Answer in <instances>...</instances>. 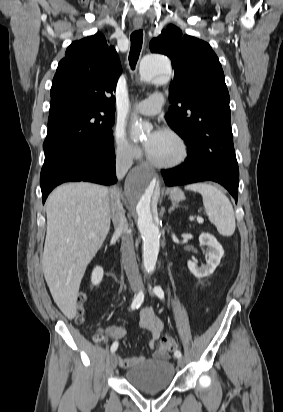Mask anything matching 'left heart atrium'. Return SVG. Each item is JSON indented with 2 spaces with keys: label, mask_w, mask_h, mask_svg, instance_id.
<instances>
[{
  "label": "left heart atrium",
  "mask_w": 283,
  "mask_h": 412,
  "mask_svg": "<svg viewBox=\"0 0 283 412\" xmlns=\"http://www.w3.org/2000/svg\"><path fill=\"white\" fill-rule=\"evenodd\" d=\"M162 131H160V130H156V131H154L153 133H152V138L153 139H155V138H157L159 135H160V133H161ZM148 144L146 145V149L148 148Z\"/></svg>",
  "instance_id": "obj_1"
}]
</instances>
